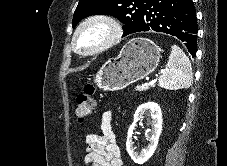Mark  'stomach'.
I'll return each instance as SVG.
<instances>
[{
  "label": "stomach",
  "instance_id": "stomach-1",
  "mask_svg": "<svg viewBox=\"0 0 227 166\" xmlns=\"http://www.w3.org/2000/svg\"><path fill=\"white\" fill-rule=\"evenodd\" d=\"M160 48L143 37L133 38L119 55L109 59L95 76V84L105 91H119L151 74L158 66Z\"/></svg>",
  "mask_w": 227,
  "mask_h": 166
}]
</instances>
